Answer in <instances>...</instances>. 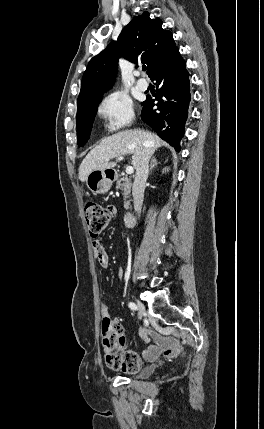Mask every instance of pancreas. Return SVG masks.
<instances>
[{
    "instance_id": "pancreas-1",
    "label": "pancreas",
    "mask_w": 264,
    "mask_h": 429,
    "mask_svg": "<svg viewBox=\"0 0 264 429\" xmlns=\"http://www.w3.org/2000/svg\"><path fill=\"white\" fill-rule=\"evenodd\" d=\"M132 183L130 178L122 177L116 182V189L121 190L124 196V208L128 209L130 206V201L128 200L131 193Z\"/></svg>"
}]
</instances>
